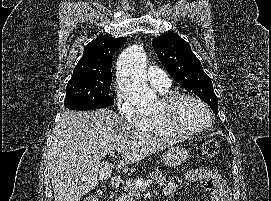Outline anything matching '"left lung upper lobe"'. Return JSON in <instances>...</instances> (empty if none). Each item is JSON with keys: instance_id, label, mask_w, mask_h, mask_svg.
I'll return each instance as SVG.
<instances>
[{"instance_id": "5c2ea615", "label": "left lung upper lobe", "mask_w": 271, "mask_h": 201, "mask_svg": "<svg viewBox=\"0 0 271 201\" xmlns=\"http://www.w3.org/2000/svg\"><path fill=\"white\" fill-rule=\"evenodd\" d=\"M152 46L170 76L205 101L217 114L218 100L212 81L203 71L201 62L192 52L190 45L178 34L166 33L155 38Z\"/></svg>"}]
</instances>
